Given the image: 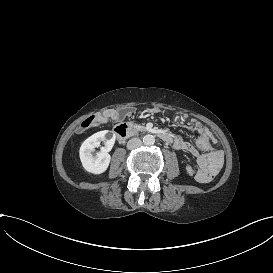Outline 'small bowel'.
Segmentation results:
<instances>
[{"label": "small bowel", "mask_w": 273, "mask_h": 273, "mask_svg": "<svg viewBox=\"0 0 273 273\" xmlns=\"http://www.w3.org/2000/svg\"><path fill=\"white\" fill-rule=\"evenodd\" d=\"M117 117V115L111 113L105 115L104 120L105 122L113 121L117 119ZM85 126H87V124ZM193 130L199 134L196 139V146L189 142L182 141L179 144V148L196 157L199 165L196 177L200 182H207L220 170L223 163V152L212 146L213 143H216V139L208 127L201 123H195ZM186 172L189 175H193L194 168L188 165Z\"/></svg>", "instance_id": "c3829d8e"}]
</instances>
